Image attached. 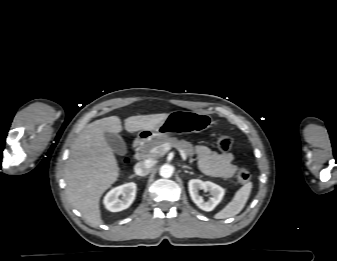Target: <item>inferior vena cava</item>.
I'll return each mask as SVG.
<instances>
[{
    "label": "inferior vena cava",
    "mask_w": 337,
    "mask_h": 261,
    "mask_svg": "<svg viewBox=\"0 0 337 261\" xmlns=\"http://www.w3.org/2000/svg\"><path fill=\"white\" fill-rule=\"evenodd\" d=\"M152 166H153V161H151V160L138 162L134 166V171L139 176H146L150 173V169H151Z\"/></svg>",
    "instance_id": "inferior-vena-cava-1"
}]
</instances>
